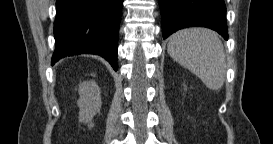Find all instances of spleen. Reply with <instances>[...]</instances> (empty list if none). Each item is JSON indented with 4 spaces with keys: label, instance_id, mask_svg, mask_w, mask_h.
Here are the masks:
<instances>
[{
    "label": "spleen",
    "instance_id": "obj_1",
    "mask_svg": "<svg viewBox=\"0 0 273 144\" xmlns=\"http://www.w3.org/2000/svg\"><path fill=\"white\" fill-rule=\"evenodd\" d=\"M168 54L195 74L211 90L224 84L226 57L218 35L206 28H187L174 33Z\"/></svg>",
    "mask_w": 273,
    "mask_h": 144
}]
</instances>
